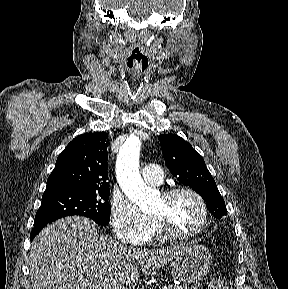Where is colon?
<instances>
[{
  "mask_svg": "<svg viewBox=\"0 0 288 289\" xmlns=\"http://www.w3.org/2000/svg\"><path fill=\"white\" fill-rule=\"evenodd\" d=\"M208 289H229L225 280L221 277L212 275L208 281Z\"/></svg>",
  "mask_w": 288,
  "mask_h": 289,
  "instance_id": "colon-1",
  "label": "colon"
}]
</instances>
